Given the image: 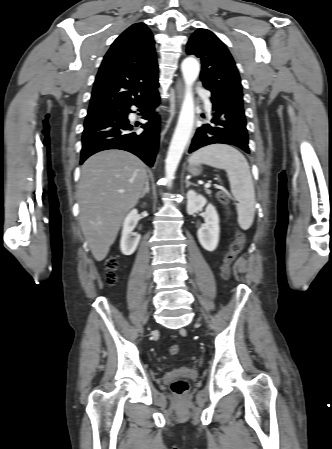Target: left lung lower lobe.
Segmentation results:
<instances>
[{
    "mask_svg": "<svg viewBox=\"0 0 332 449\" xmlns=\"http://www.w3.org/2000/svg\"><path fill=\"white\" fill-rule=\"evenodd\" d=\"M212 118L197 128L189 153L210 144L234 145L250 153L244 109L219 98L211 97Z\"/></svg>",
    "mask_w": 332,
    "mask_h": 449,
    "instance_id": "1",
    "label": "left lung lower lobe"
}]
</instances>
